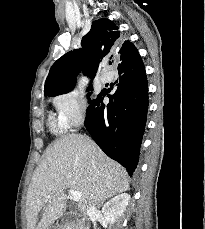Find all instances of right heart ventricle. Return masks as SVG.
I'll use <instances>...</instances> for the list:
<instances>
[{"label": "right heart ventricle", "mask_w": 205, "mask_h": 229, "mask_svg": "<svg viewBox=\"0 0 205 229\" xmlns=\"http://www.w3.org/2000/svg\"><path fill=\"white\" fill-rule=\"evenodd\" d=\"M50 128L54 133H62L66 130V127L58 120L53 117L50 118Z\"/></svg>", "instance_id": "right-heart-ventricle-1"}]
</instances>
